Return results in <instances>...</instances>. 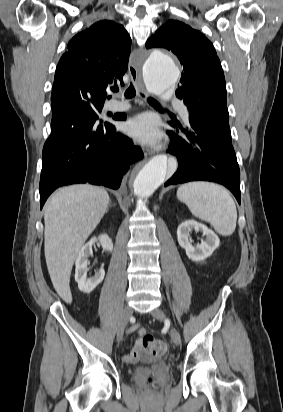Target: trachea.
Instances as JSON below:
<instances>
[{
    "label": "trachea",
    "instance_id": "trachea-1",
    "mask_svg": "<svg viewBox=\"0 0 283 412\" xmlns=\"http://www.w3.org/2000/svg\"><path fill=\"white\" fill-rule=\"evenodd\" d=\"M112 90L114 92H117L118 88L115 87ZM135 95H136V91H135V88H134L133 84L131 83L129 88L125 91L124 96H125L126 99H130V98H133ZM148 101H149L150 104H153L157 107H161L160 104L156 100H154L153 98H149Z\"/></svg>",
    "mask_w": 283,
    "mask_h": 412
}]
</instances>
